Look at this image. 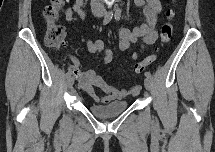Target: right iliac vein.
<instances>
[{"label":"right iliac vein","mask_w":215,"mask_h":152,"mask_svg":"<svg viewBox=\"0 0 215 152\" xmlns=\"http://www.w3.org/2000/svg\"><path fill=\"white\" fill-rule=\"evenodd\" d=\"M74 84V78L72 76H68V79H67V85L69 88H72Z\"/></svg>","instance_id":"63e3f726"}]
</instances>
